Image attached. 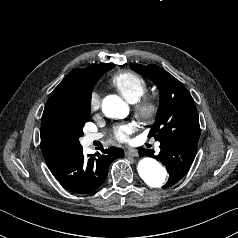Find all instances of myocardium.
I'll return each instance as SVG.
<instances>
[{
  "mask_svg": "<svg viewBox=\"0 0 238 238\" xmlns=\"http://www.w3.org/2000/svg\"><path fill=\"white\" fill-rule=\"evenodd\" d=\"M159 110L156 97L151 94L141 96L134 105L133 111L136 119L141 124L151 123Z\"/></svg>",
  "mask_w": 238,
  "mask_h": 238,
  "instance_id": "1",
  "label": "myocardium"
}]
</instances>
